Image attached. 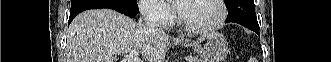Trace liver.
Returning <instances> with one entry per match:
<instances>
[{
  "mask_svg": "<svg viewBox=\"0 0 331 62\" xmlns=\"http://www.w3.org/2000/svg\"><path fill=\"white\" fill-rule=\"evenodd\" d=\"M170 39L113 10H88L70 24L66 62H114L108 58L134 49L147 62H163Z\"/></svg>",
  "mask_w": 331,
  "mask_h": 62,
  "instance_id": "liver-1",
  "label": "liver"
}]
</instances>
